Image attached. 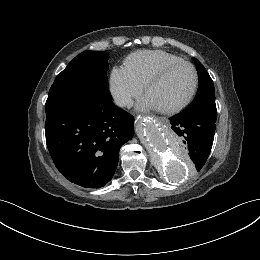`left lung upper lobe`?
Returning <instances> with one entry per match:
<instances>
[{
    "label": "left lung upper lobe",
    "mask_w": 260,
    "mask_h": 260,
    "mask_svg": "<svg viewBox=\"0 0 260 260\" xmlns=\"http://www.w3.org/2000/svg\"><path fill=\"white\" fill-rule=\"evenodd\" d=\"M194 62L199 76V86L194 100L185 110L188 111L200 107L216 108L213 81L205 67L196 58H194Z\"/></svg>",
    "instance_id": "left-lung-upper-lobe-1"
}]
</instances>
